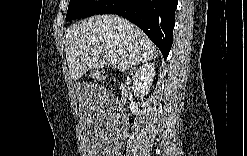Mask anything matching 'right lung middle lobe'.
Here are the masks:
<instances>
[{
  "instance_id": "right-lung-middle-lobe-1",
  "label": "right lung middle lobe",
  "mask_w": 247,
  "mask_h": 156,
  "mask_svg": "<svg viewBox=\"0 0 247 156\" xmlns=\"http://www.w3.org/2000/svg\"><path fill=\"white\" fill-rule=\"evenodd\" d=\"M107 0H70L66 20L85 18L96 14Z\"/></svg>"
}]
</instances>
